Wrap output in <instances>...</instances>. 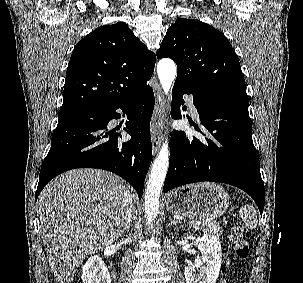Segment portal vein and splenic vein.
<instances>
[{"label":"portal vein and splenic vein","instance_id":"portal-vein-and-splenic-vein-1","mask_svg":"<svg viewBox=\"0 0 303 283\" xmlns=\"http://www.w3.org/2000/svg\"><path fill=\"white\" fill-rule=\"evenodd\" d=\"M208 222H215V221L211 220V221H205V222H198V224H207Z\"/></svg>","mask_w":303,"mask_h":283}]
</instances>
